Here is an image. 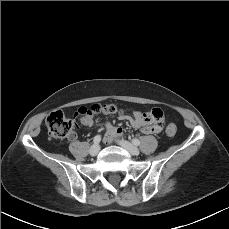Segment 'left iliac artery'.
Instances as JSON below:
<instances>
[{"label": "left iliac artery", "instance_id": "1", "mask_svg": "<svg viewBox=\"0 0 229 229\" xmlns=\"http://www.w3.org/2000/svg\"><path fill=\"white\" fill-rule=\"evenodd\" d=\"M132 143L135 145V146H139L140 145V141L138 139H133L132 140Z\"/></svg>", "mask_w": 229, "mask_h": 229}]
</instances>
